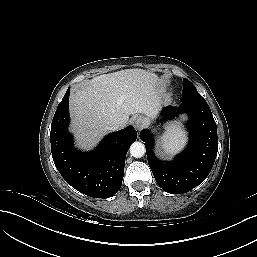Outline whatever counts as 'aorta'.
Returning a JSON list of instances; mask_svg holds the SVG:
<instances>
[{
  "mask_svg": "<svg viewBox=\"0 0 257 257\" xmlns=\"http://www.w3.org/2000/svg\"><path fill=\"white\" fill-rule=\"evenodd\" d=\"M130 153L135 158H141L145 154V146L141 142H134L130 146Z\"/></svg>",
  "mask_w": 257,
  "mask_h": 257,
  "instance_id": "aorta-1",
  "label": "aorta"
}]
</instances>
